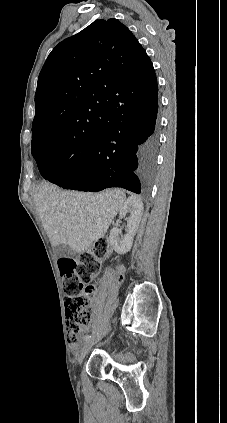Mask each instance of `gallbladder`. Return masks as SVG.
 Instances as JSON below:
<instances>
[{
    "label": "gallbladder",
    "instance_id": "gallbladder-1",
    "mask_svg": "<svg viewBox=\"0 0 227 423\" xmlns=\"http://www.w3.org/2000/svg\"><path fill=\"white\" fill-rule=\"evenodd\" d=\"M54 253L57 257H74L75 255V251H73L69 245H64V243L56 245V247H54Z\"/></svg>",
    "mask_w": 227,
    "mask_h": 423
}]
</instances>
